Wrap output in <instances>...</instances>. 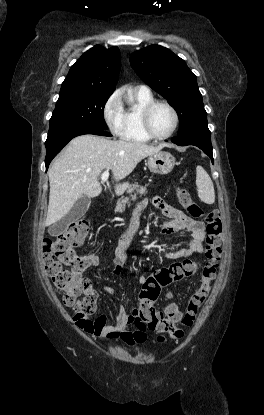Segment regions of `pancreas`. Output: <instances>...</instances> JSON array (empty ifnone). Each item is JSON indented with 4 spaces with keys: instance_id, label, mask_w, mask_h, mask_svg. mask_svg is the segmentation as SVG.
<instances>
[{
    "instance_id": "obj_1",
    "label": "pancreas",
    "mask_w": 264,
    "mask_h": 415,
    "mask_svg": "<svg viewBox=\"0 0 264 415\" xmlns=\"http://www.w3.org/2000/svg\"><path fill=\"white\" fill-rule=\"evenodd\" d=\"M137 193L138 194H141V195H145L147 193L146 186L145 187H141L140 189H138L137 190ZM130 200H133V201L136 200V194L131 195L130 197H123V198L119 199L117 201V205H116V208H115V212L116 213H122V212H124L126 206L127 205L130 206Z\"/></svg>"
}]
</instances>
